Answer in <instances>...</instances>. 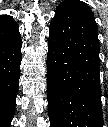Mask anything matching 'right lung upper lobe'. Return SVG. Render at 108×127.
Wrapping results in <instances>:
<instances>
[{
    "label": "right lung upper lobe",
    "instance_id": "1",
    "mask_svg": "<svg viewBox=\"0 0 108 127\" xmlns=\"http://www.w3.org/2000/svg\"><path fill=\"white\" fill-rule=\"evenodd\" d=\"M10 16H8V15H2V16H0V19H6V18H9Z\"/></svg>",
    "mask_w": 108,
    "mask_h": 127
}]
</instances>
